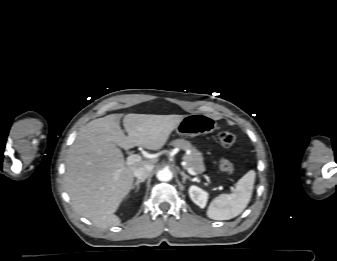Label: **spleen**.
Listing matches in <instances>:
<instances>
[{
	"label": "spleen",
	"mask_w": 337,
	"mask_h": 261,
	"mask_svg": "<svg viewBox=\"0 0 337 261\" xmlns=\"http://www.w3.org/2000/svg\"><path fill=\"white\" fill-rule=\"evenodd\" d=\"M256 173L248 171L235 185L232 194H221L214 198L207 210V216L213 220H229L238 216L250 202Z\"/></svg>",
	"instance_id": "3e777b00"
}]
</instances>
